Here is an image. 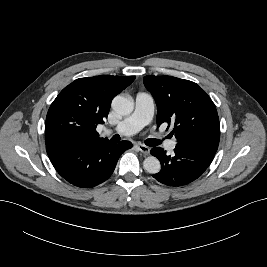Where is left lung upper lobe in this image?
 Segmentation results:
<instances>
[{"instance_id": "5c2ea615", "label": "left lung upper lobe", "mask_w": 267, "mask_h": 267, "mask_svg": "<svg viewBox=\"0 0 267 267\" xmlns=\"http://www.w3.org/2000/svg\"><path fill=\"white\" fill-rule=\"evenodd\" d=\"M143 82L153 95L157 125L174 126L177 146L201 148L216 153L220 123L213 101L196 83L172 76H145Z\"/></svg>"}]
</instances>
